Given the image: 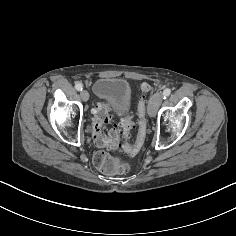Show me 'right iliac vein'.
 Listing matches in <instances>:
<instances>
[{
  "mask_svg": "<svg viewBox=\"0 0 236 236\" xmlns=\"http://www.w3.org/2000/svg\"><path fill=\"white\" fill-rule=\"evenodd\" d=\"M80 96H81L82 100L85 102L88 101V99H89V93L87 90H82L80 92Z\"/></svg>",
  "mask_w": 236,
  "mask_h": 236,
  "instance_id": "1",
  "label": "right iliac vein"
}]
</instances>
